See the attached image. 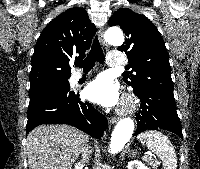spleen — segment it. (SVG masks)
Listing matches in <instances>:
<instances>
[{
  "instance_id": "spleen-1",
  "label": "spleen",
  "mask_w": 200,
  "mask_h": 169,
  "mask_svg": "<svg viewBox=\"0 0 200 169\" xmlns=\"http://www.w3.org/2000/svg\"><path fill=\"white\" fill-rule=\"evenodd\" d=\"M137 138L159 157L163 162L164 169L177 168L175 149L167 136L160 131L148 130L138 135Z\"/></svg>"
}]
</instances>
